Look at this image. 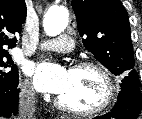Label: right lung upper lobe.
<instances>
[{"label":"right lung upper lobe","instance_id":"1","mask_svg":"<svg viewBox=\"0 0 142 119\" xmlns=\"http://www.w3.org/2000/svg\"><path fill=\"white\" fill-rule=\"evenodd\" d=\"M25 19V0H0V50L16 46L13 35L21 32Z\"/></svg>","mask_w":142,"mask_h":119}]
</instances>
